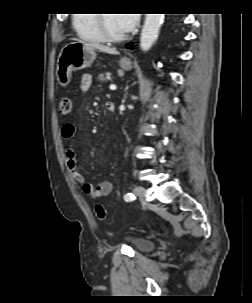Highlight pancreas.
<instances>
[{
    "instance_id": "cf45deb5",
    "label": "pancreas",
    "mask_w": 252,
    "mask_h": 303,
    "mask_svg": "<svg viewBox=\"0 0 252 303\" xmlns=\"http://www.w3.org/2000/svg\"><path fill=\"white\" fill-rule=\"evenodd\" d=\"M111 74L106 72V73H101L98 76L99 81L103 82L107 80V77H109Z\"/></svg>"
}]
</instances>
